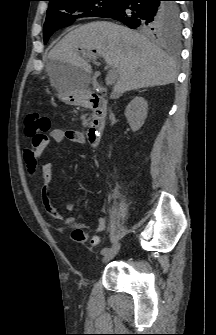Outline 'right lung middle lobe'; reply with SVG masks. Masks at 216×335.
Segmentation results:
<instances>
[{"instance_id":"obj_1","label":"right lung middle lobe","mask_w":216,"mask_h":335,"mask_svg":"<svg viewBox=\"0 0 216 335\" xmlns=\"http://www.w3.org/2000/svg\"><path fill=\"white\" fill-rule=\"evenodd\" d=\"M120 0H54L49 3L44 23V43L58 29L72 24L81 17H103L108 14ZM176 4V3H175ZM177 6V4H176ZM153 35L178 36L180 21L177 19L171 29L154 34L150 30H143Z\"/></svg>"}]
</instances>
